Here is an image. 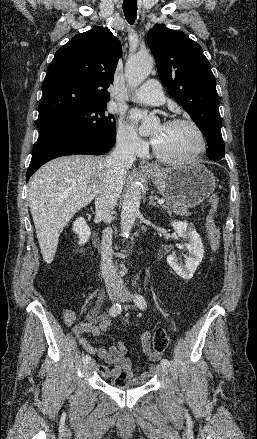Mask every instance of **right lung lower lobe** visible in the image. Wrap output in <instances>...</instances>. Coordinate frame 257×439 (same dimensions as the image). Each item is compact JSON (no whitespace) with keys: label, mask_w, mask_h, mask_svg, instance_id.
Returning a JSON list of instances; mask_svg holds the SVG:
<instances>
[{"label":"right lung lower lobe","mask_w":257,"mask_h":439,"mask_svg":"<svg viewBox=\"0 0 257 439\" xmlns=\"http://www.w3.org/2000/svg\"><path fill=\"white\" fill-rule=\"evenodd\" d=\"M115 144V138L77 128L61 127L40 133L33 148L26 181L44 163L71 154L101 155Z\"/></svg>","instance_id":"obj_1"}]
</instances>
